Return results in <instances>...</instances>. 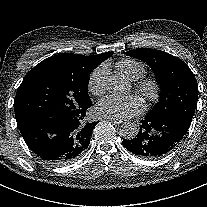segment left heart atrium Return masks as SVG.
<instances>
[{
    "label": "left heart atrium",
    "mask_w": 207,
    "mask_h": 207,
    "mask_svg": "<svg viewBox=\"0 0 207 207\" xmlns=\"http://www.w3.org/2000/svg\"><path fill=\"white\" fill-rule=\"evenodd\" d=\"M144 102L138 95L117 96L108 95L101 99L97 105V112L110 119H127L142 113Z\"/></svg>",
    "instance_id": "39dd6f15"
}]
</instances>
